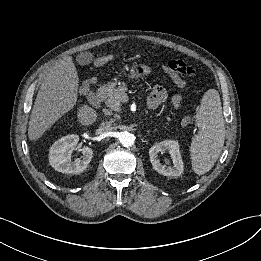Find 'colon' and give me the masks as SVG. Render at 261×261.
<instances>
[{"label": "colon", "instance_id": "colon-1", "mask_svg": "<svg viewBox=\"0 0 261 261\" xmlns=\"http://www.w3.org/2000/svg\"><path fill=\"white\" fill-rule=\"evenodd\" d=\"M100 60L102 62L107 63L111 60V55L110 54L103 55L102 57H100ZM168 70L173 76V78L180 81H183V79L187 77L193 76L195 73L193 67L188 66L184 62L178 60L170 61L168 63ZM88 86H89L88 83L84 84V86L82 87V91H86Z\"/></svg>", "mask_w": 261, "mask_h": 261}]
</instances>
